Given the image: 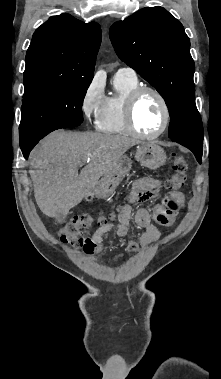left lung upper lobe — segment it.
I'll list each match as a JSON object with an SVG mask.
<instances>
[{
  "instance_id": "left-lung-upper-lobe-1",
  "label": "left lung upper lobe",
  "mask_w": 221,
  "mask_h": 379,
  "mask_svg": "<svg viewBox=\"0 0 221 379\" xmlns=\"http://www.w3.org/2000/svg\"><path fill=\"white\" fill-rule=\"evenodd\" d=\"M109 36L118 57L164 98L169 138L203 149V127L195 104L190 40L182 24L162 7L143 8L114 23Z\"/></svg>"
}]
</instances>
